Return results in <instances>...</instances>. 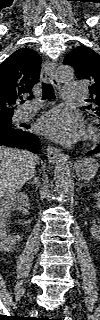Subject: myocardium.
Masks as SVG:
<instances>
[{
  "label": "myocardium",
  "mask_w": 100,
  "mask_h": 320,
  "mask_svg": "<svg viewBox=\"0 0 100 320\" xmlns=\"http://www.w3.org/2000/svg\"><path fill=\"white\" fill-rule=\"evenodd\" d=\"M83 136H84V140L85 141L90 142V141H93L95 139L96 134H95V131H94L93 128L88 127V128L85 129Z\"/></svg>",
  "instance_id": "myocardium-1"
}]
</instances>
